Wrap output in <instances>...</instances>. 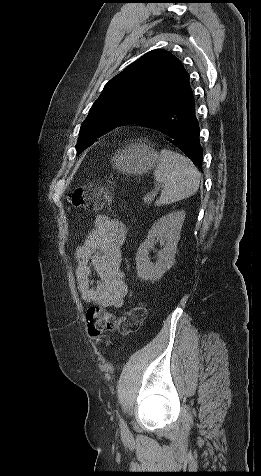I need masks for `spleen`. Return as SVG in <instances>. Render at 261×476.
I'll list each match as a JSON object with an SVG mask.
<instances>
[{"label":"spleen","instance_id":"1","mask_svg":"<svg viewBox=\"0 0 261 476\" xmlns=\"http://www.w3.org/2000/svg\"><path fill=\"white\" fill-rule=\"evenodd\" d=\"M201 174L187 157L161 150L154 171L155 180L163 187L157 205H168L194 195L200 184Z\"/></svg>","mask_w":261,"mask_h":476}]
</instances>
